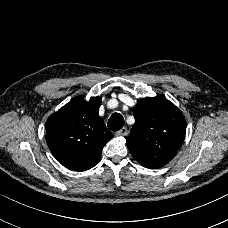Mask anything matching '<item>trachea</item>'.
Segmentation results:
<instances>
[{"instance_id": "3493384b", "label": "trachea", "mask_w": 228, "mask_h": 228, "mask_svg": "<svg viewBox=\"0 0 228 228\" xmlns=\"http://www.w3.org/2000/svg\"><path fill=\"white\" fill-rule=\"evenodd\" d=\"M108 128L111 131H118L124 126V118L119 113H114L108 120Z\"/></svg>"}]
</instances>
